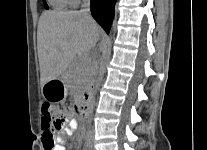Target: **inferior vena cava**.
Masks as SVG:
<instances>
[{
    "instance_id": "obj_1",
    "label": "inferior vena cava",
    "mask_w": 207,
    "mask_h": 150,
    "mask_svg": "<svg viewBox=\"0 0 207 150\" xmlns=\"http://www.w3.org/2000/svg\"><path fill=\"white\" fill-rule=\"evenodd\" d=\"M81 12L87 16H90V0H83Z\"/></svg>"
}]
</instances>
